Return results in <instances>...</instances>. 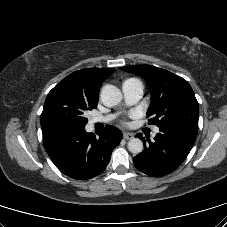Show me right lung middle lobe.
I'll return each mask as SVG.
<instances>
[{
    "label": "right lung middle lobe",
    "mask_w": 227,
    "mask_h": 227,
    "mask_svg": "<svg viewBox=\"0 0 227 227\" xmlns=\"http://www.w3.org/2000/svg\"><path fill=\"white\" fill-rule=\"evenodd\" d=\"M98 100L56 85L48 94L40 123L42 131L57 127L84 128L88 122L84 114L96 108Z\"/></svg>",
    "instance_id": "1"
}]
</instances>
